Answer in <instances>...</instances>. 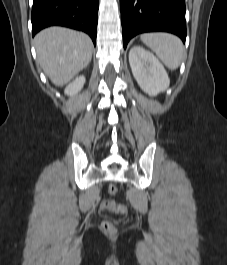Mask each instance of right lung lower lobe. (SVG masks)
Listing matches in <instances>:
<instances>
[{"label":"right lung lower lobe","mask_w":227,"mask_h":265,"mask_svg":"<svg viewBox=\"0 0 227 265\" xmlns=\"http://www.w3.org/2000/svg\"><path fill=\"white\" fill-rule=\"evenodd\" d=\"M99 0H33V36L41 29L60 25L81 30L96 44Z\"/></svg>","instance_id":"98d812e1"}]
</instances>
